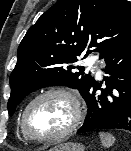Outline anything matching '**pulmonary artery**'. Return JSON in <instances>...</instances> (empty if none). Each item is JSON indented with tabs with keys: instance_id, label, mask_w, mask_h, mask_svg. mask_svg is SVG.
Returning <instances> with one entry per match:
<instances>
[{
	"instance_id": "obj_1",
	"label": "pulmonary artery",
	"mask_w": 131,
	"mask_h": 151,
	"mask_svg": "<svg viewBox=\"0 0 131 151\" xmlns=\"http://www.w3.org/2000/svg\"><path fill=\"white\" fill-rule=\"evenodd\" d=\"M85 64L88 68L90 69H95L96 74L100 75L101 71L98 69V67L96 66V61L93 57H89L86 59Z\"/></svg>"
}]
</instances>
